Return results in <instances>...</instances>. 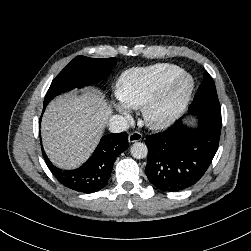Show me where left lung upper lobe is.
<instances>
[{
    "label": "left lung upper lobe",
    "mask_w": 251,
    "mask_h": 251,
    "mask_svg": "<svg viewBox=\"0 0 251 251\" xmlns=\"http://www.w3.org/2000/svg\"><path fill=\"white\" fill-rule=\"evenodd\" d=\"M191 107L221 110L215 83L207 71L204 72L203 81L197 90Z\"/></svg>",
    "instance_id": "1"
}]
</instances>
